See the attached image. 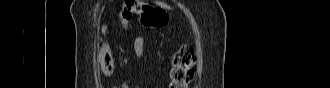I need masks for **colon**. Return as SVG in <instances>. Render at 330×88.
Returning a JSON list of instances; mask_svg holds the SVG:
<instances>
[{
	"label": "colon",
	"instance_id": "5ec220e1",
	"mask_svg": "<svg viewBox=\"0 0 330 88\" xmlns=\"http://www.w3.org/2000/svg\"><path fill=\"white\" fill-rule=\"evenodd\" d=\"M119 18L126 27L133 16L146 28H160L166 23L163 11L153 8L141 0L126 1L119 9ZM100 67L109 76L114 69L113 54L103 46L99 52ZM195 54L190 45L181 46L173 56L171 68V88H187L194 76Z\"/></svg>",
	"mask_w": 330,
	"mask_h": 88
}]
</instances>
